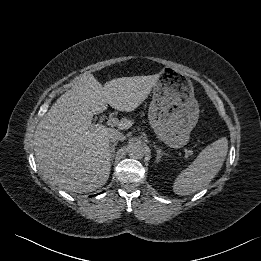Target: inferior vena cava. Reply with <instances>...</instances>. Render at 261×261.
<instances>
[{"label": "inferior vena cava", "instance_id": "602c4592", "mask_svg": "<svg viewBox=\"0 0 261 261\" xmlns=\"http://www.w3.org/2000/svg\"><path fill=\"white\" fill-rule=\"evenodd\" d=\"M109 140L112 142L115 141H123L125 140V136L123 133L119 132V131H112L109 135Z\"/></svg>", "mask_w": 261, "mask_h": 261}]
</instances>
